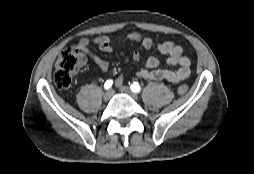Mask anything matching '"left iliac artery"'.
Returning <instances> with one entry per match:
<instances>
[{
    "label": "left iliac artery",
    "mask_w": 254,
    "mask_h": 174,
    "mask_svg": "<svg viewBox=\"0 0 254 174\" xmlns=\"http://www.w3.org/2000/svg\"><path fill=\"white\" fill-rule=\"evenodd\" d=\"M130 89L134 93H139L141 91V87L137 82H134L131 86Z\"/></svg>",
    "instance_id": "1"
}]
</instances>
